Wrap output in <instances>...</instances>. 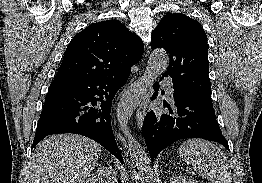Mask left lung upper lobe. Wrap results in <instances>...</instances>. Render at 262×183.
Instances as JSON below:
<instances>
[{
  "label": "left lung upper lobe",
  "mask_w": 262,
  "mask_h": 183,
  "mask_svg": "<svg viewBox=\"0 0 262 183\" xmlns=\"http://www.w3.org/2000/svg\"><path fill=\"white\" fill-rule=\"evenodd\" d=\"M151 47L170 55L164 76L182 91L211 98L207 36L200 23L181 13L166 14L152 32Z\"/></svg>",
  "instance_id": "1"
}]
</instances>
